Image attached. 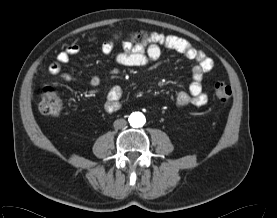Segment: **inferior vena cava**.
Returning a JSON list of instances; mask_svg holds the SVG:
<instances>
[{
  "mask_svg": "<svg viewBox=\"0 0 277 218\" xmlns=\"http://www.w3.org/2000/svg\"><path fill=\"white\" fill-rule=\"evenodd\" d=\"M113 125L116 129H123L127 125V121L125 119H117Z\"/></svg>",
  "mask_w": 277,
  "mask_h": 218,
  "instance_id": "1",
  "label": "inferior vena cava"
}]
</instances>
